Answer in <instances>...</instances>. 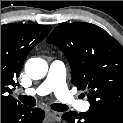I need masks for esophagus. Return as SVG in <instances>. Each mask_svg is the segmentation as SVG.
<instances>
[{"label": "esophagus", "instance_id": "34e87169", "mask_svg": "<svg viewBox=\"0 0 123 123\" xmlns=\"http://www.w3.org/2000/svg\"><path fill=\"white\" fill-rule=\"evenodd\" d=\"M47 114L52 116L54 118V120H56V121H61V119H62V114L59 113V112H51V111H49Z\"/></svg>", "mask_w": 123, "mask_h": 123}]
</instances>
